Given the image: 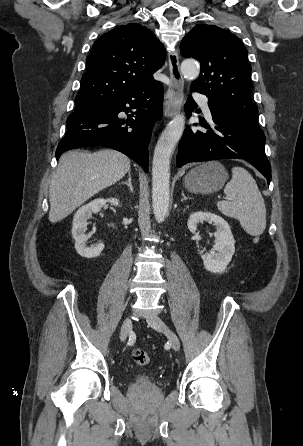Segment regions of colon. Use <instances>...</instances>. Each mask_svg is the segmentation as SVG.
I'll list each match as a JSON object with an SVG mask.
<instances>
[{
  "label": "colon",
  "mask_w": 303,
  "mask_h": 446,
  "mask_svg": "<svg viewBox=\"0 0 303 446\" xmlns=\"http://www.w3.org/2000/svg\"><path fill=\"white\" fill-rule=\"evenodd\" d=\"M134 362L139 366H147L150 363L149 354L141 349H136L132 354Z\"/></svg>",
  "instance_id": "colon-1"
}]
</instances>
